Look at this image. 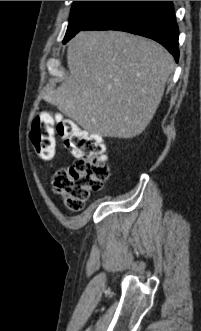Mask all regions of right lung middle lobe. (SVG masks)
<instances>
[{"label":"right lung middle lobe","mask_w":201,"mask_h":331,"mask_svg":"<svg viewBox=\"0 0 201 331\" xmlns=\"http://www.w3.org/2000/svg\"><path fill=\"white\" fill-rule=\"evenodd\" d=\"M114 1H75L69 19V25L64 37L65 44L89 22L97 17Z\"/></svg>","instance_id":"right-lung-middle-lobe-1"}]
</instances>
